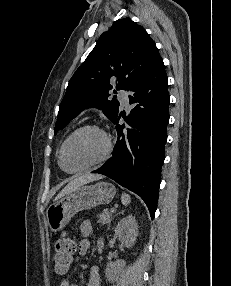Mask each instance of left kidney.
Instances as JSON below:
<instances>
[{"label":"left kidney","mask_w":231,"mask_h":286,"mask_svg":"<svg viewBox=\"0 0 231 286\" xmlns=\"http://www.w3.org/2000/svg\"><path fill=\"white\" fill-rule=\"evenodd\" d=\"M137 234L138 225L133 215H128L122 218L115 228V236L127 248H131L134 245ZM125 265L126 262L124 260L107 263L105 275L108 281L114 282L118 278Z\"/></svg>","instance_id":"obj_1"}]
</instances>
